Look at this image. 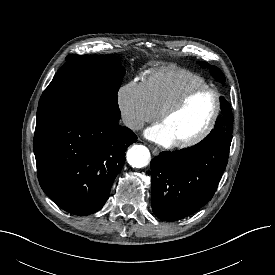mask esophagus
Returning a JSON list of instances; mask_svg holds the SVG:
<instances>
[{"mask_svg":"<svg viewBox=\"0 0 275 275\" xmlns=\"http://www.w3.org/2000/svg\"><path fill=\"white\" fill-rule=\"evenodd\" d=\"M150 149H151L153 155H155V156L159 155V149L157 147L150 146Z\"/></svg>","mask_w":275,"mask_h":275,"instance_id":"1","label":"esophagus"}]
</instances>
